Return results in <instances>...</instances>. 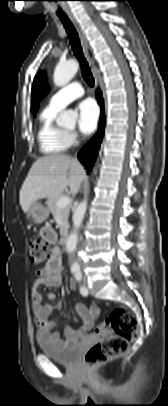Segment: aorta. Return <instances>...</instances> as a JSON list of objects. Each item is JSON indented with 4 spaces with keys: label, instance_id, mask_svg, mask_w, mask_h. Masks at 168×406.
<instances>
[{
    "label": "aorta",
    "instance_id": "aorta-1",
    "mask_svg": "<svg viewBox=\"0 0 168 406\" xmlns=\"http://www.w3.org/2000/svg\"><path fill=\"white\" fill-rule=\"evenodd\" d=\"M78 70V63L77 61L70 59L66 62L59 63L54 71L53 80L56 86L63 87L67 85L71 79L74 77ZM77 119V112L72 110L64 111L60 114L58 118V123L62 126H71L75 124ZM87 209V201L83 200L78 207L76 208L74 215H73V225L74 231L69 235L66 243L67 252L72 254L77 246L78 243V229L81 227L82 220L84 218V214ZM73 269H79V264L77 262H73L72 264Z\"/></svg>",
    "mask_w": 168,
    "mask_h": 406
}]
</instances>
